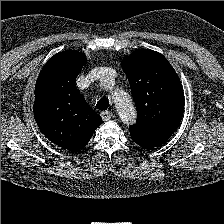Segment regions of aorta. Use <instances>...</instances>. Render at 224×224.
I'll return each instance as SVG.
<instances>
[{"mask_svg":"<svg viewBox=\"0 0 224 224\" xmlns=\"http://www.w3.org/2000/svg\"><path fill=\"white\" fill-rule=\"evenodd\" d=\"M112 100L119 112L122 122L126 125L135 123L137 114L129 94L122 90H115L112 93Z\"/></svg>","mask_w":224,"mask_h":224,"instance_id":"aorta-1","label":"aorta"}]
</instances>
